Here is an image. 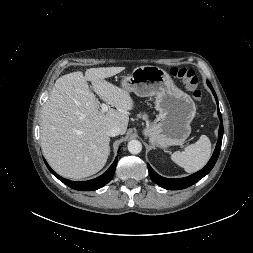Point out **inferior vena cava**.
Segmentation results:
<instances>
[{
    "label": "inferior vena cava",
    "mask_w": 253,
    "mask_h": 253,
    "mask_svg": "<svg viewBox=\"0 0 253 253\" xmlns=\"http://www.w3.org/2000/svg\"><path fill=\"white\" fill-rule=\"evenodd\" d=\"M119 134H121V129H120V127H118L116 125H113V126H111L107 129V135L108 136L114 137V136H117Z\"/></svg>",
    "instance_id": "inferior-vena-cava-1"
}]
</instances>
